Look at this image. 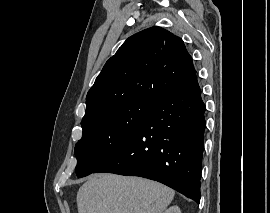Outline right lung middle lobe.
Segmentation results:
<instances>
[{
	"instance_id": "dd1d6c3e",
	"label": "right lung middle lobe",
	"mask_w": 270,
	"mask_h": 213,
	"mask_svg": "<svg viewBox=\"0 0 270 213\" xmlns=\"http://www.w3.org/2000/svg\"><path fill=\"white\" fill-rule=\"evenodd\" d=\"M156 103L136 100L81 122L82 138L75 146L76 175L94 173L139 129Z\"/></svg>"
}]
</instances>
